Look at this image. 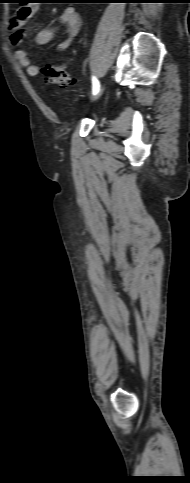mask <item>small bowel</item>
Segmentation results:
<instances>
[{"label": "small bowel", "mask_w": 190, "mask_h": 483, "mask_svg": "<svg viewBox=\"0 0 190 483\" xmlns=\"http://www.w3.org/2000/svg\"><path fill=\"white\" fill-rule=\"evenodd\" d=\"M34 5H22L18 7L9 20L10 44L15 47L14 58L17 63L25 68L29 76H37L39 68L32 63L27 52L21 47L27 29V21L36 13ZM59 23L65 28L64 38L56 45L58 52L66 50L74 41L80 27L81 20L78 13L71 6L65 8L60 15ZM57 32L56 27L45 28L37 32L35 41L39 45H45L52 41Z\"/></svg>", "instance_id": "c3829d8e"}]
</instances>
